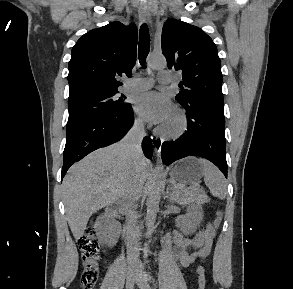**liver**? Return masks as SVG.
I'll list each match as a JSON object with an SVG mask.
<instances>
[{
	"mask_svg": "<svg viewBox=\"0 0 293 289\" xmlns=\"http://www.w3.org/2000/svg\"><path fill=\"white\" fill-rule=\"evenodd\" d=\"M150 163L142 156L135 170L134 159L122 142L98 149L74 164L63 183V200L68 224L76 240L86 229L91 215L118 201L133 174L142 185L149 175Z\"/></svg>",
	"mask_w": 293,
	"mask_h": 289,
	"instance_id": "obj_1",
	"label": "liver"
}]
</instances>
